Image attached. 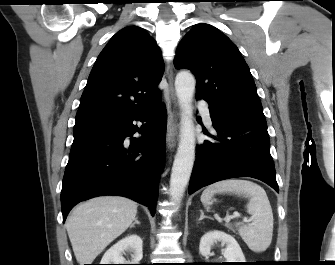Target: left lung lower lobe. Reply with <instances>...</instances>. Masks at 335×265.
Segmentation results:
<instances>
[{"label": "left lung lower lobe", "mask_w": 335, "mask_h": 265, "mask_svg": "<svg viewBox=\"0 0 335 265\" xmlns=\"http://www.w3.org/2000/svg\"><path fill=\"white\" fill-rule=\"evenodd\" d=\"M209 109L217 133L204 131L211 140L197 146L188 193L220 180L245 176L259 179L278 192L267 130L211 106Z\"/></svg>", "instance_id": "1"}]
</instances>
